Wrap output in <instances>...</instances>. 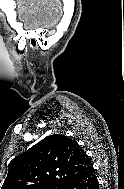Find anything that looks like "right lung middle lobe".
I'll return each instance as SVG.
<instances>
[{"label":"right lung middle lobe","instance_id":"right-lung-middle-lobe-1","mask_svg":"<svg viewBox=\"0 0 124 189\" xmlns=\"http://www.w3.org/2000/svg\"><path fill=\"white\" fill-rule=\"evenodd\" d=\"M64 186L62 185H45L41 186L38 189H63Z\"/></svg>","mask_w":124,"mask_h":189}]
</instances>
